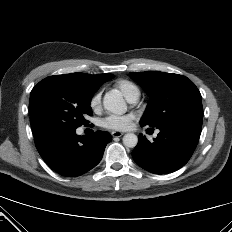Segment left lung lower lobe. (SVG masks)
<instances>
[{"mask_svg": "<svg viewBox=\"0 0 232 232\" xmlns=\"http://www.w3.org/2000/svg\"><path fill=\"white\" fill-rule=\"evenodd\" d=\"M157 128L160 133L153 142L142 134L138 136L132 157L140 167L151 173L174 172L183 167L192 156L201 134L202 116L175 118Z\"/></svg>", "mask_w": 232, "mask_h": 232, "instance_id": "1", "label": "left lung lower lobe"}]
</instances>
